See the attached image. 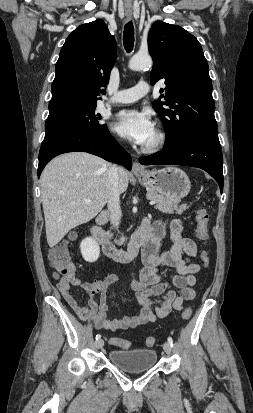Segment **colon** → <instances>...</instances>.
<instances>
[{"label": "colon", "mask_w": 253, "mask_h": 413, "mask_svg": "<svg viewBox=\"0 0 253 413\" xmlns=\"http://www.w3.org/2000/svg\"><path fill=\"white\" fill-rule=\"evenodd\" d=\"M196 221V237L199 241L203 244H206L209 238L208 233V221L209 215L204 208H199L196 212L195 216ZM68 241H63L56 246H54L49 251V260L51 262L52 267L62 276H69L72 274V266L70 262L69 256V249H68ZM201 261L205 267H207L210 263L209 255L206 251H202L200 255ZM192 310L190 308L185 309L182 312V319L187 321L191 318ZM110 343L112 345L119 346L123 349H128L130 347V342L118 337L110 338ZM145 343L148 347H151L155 343V339L153 337H147Z\"/></svg>", "instance_id": "colon-1"}]
</instances>
